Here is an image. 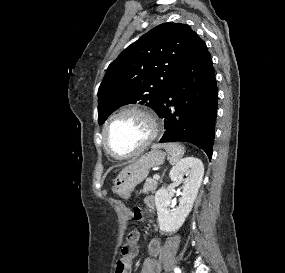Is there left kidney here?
I'll use <instances>...</instances> for the list:
<instances>
[{
  "instance_id": "5707ae66",
  "label": "left kidney",
  "mask_w": 285,
  "mask_h": 273,
  "mask_svg": "<svg viewBox=\"0 0 285 273\" xmlns=\"http://www.w3.org/2000/svg\"><path fill=\"white\" fill-rule=\"evenodd\" d=\"M183 175L189 176L184 179ZM204 175V166L200 159L195 157H186L181 159L171 169L169 176L174 184L182 185V197L179 206L168 209L171 202L169 187L163 186L155 195V204L157 208L158 223L160 231L175 232L185 222V219L192 210L193 203L197 197L202 178Z\"/></svg>"
}]
</instances>
